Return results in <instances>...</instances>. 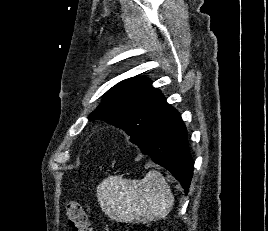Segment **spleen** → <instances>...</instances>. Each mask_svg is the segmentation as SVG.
Masks as SVG:
<instances>
[{
    "label": "spleen",
    "instance_id": "obj_1",
    "mask_svg": "<svg viewBox=\"0 0 268 231\" xmlns=\"http://www.w3.org/2000/svg\"><path fill=\"white\" fill-rule=\"evenodd\" d=\"M97 198L108 217L126 223L165 218L174 204L170 186L154 169L142 180L109 176L97 186Z\"/></svg>",
    "mask_w": 268,
    "mask_h": 231
}]
</instances>
